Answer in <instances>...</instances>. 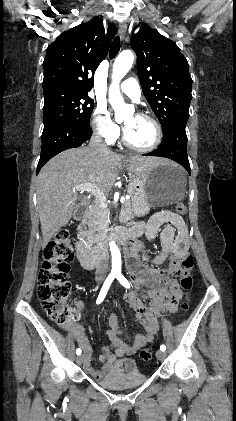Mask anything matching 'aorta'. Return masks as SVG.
<instances>
[{
	"instance_id": "1",
	"label": "aorta",
	"mask_w": 236,
	"mask_h": 421,
	"mask_svg": "<svg viewBox=\"0 0 236 421\" xmlns=\"http://www.w3.org/2000/svg\"><path fill=\"white\" fill-rule=\"evenodd\" d=\"M134 62V54L132 50H122L119 56H117L114 64H113V72H112V84L109 86V100L114 106V98H121L118 82H120L121 78L127 74L128 70H130L132 64ZM110 251L112 255V273H120L121 271V255L120 251L114 243L111 241L110 243Z\"/></svg>"
}]
</instances>
